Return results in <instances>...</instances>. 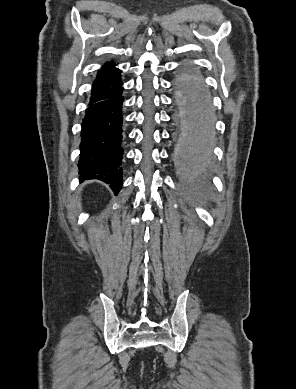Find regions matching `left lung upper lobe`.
<instances>
[{"instance_id":"5c2ea615","label":"left lung upper lobe","mask_w":296,"mask_h":389,"mask_svg":"<svg viewBox=\"0 0 296 389\" xmlns=\"http://www.w3.org/2000/svg\"><path fill=\"white\" fill-rule=\"evenodd\" d=\"M196 84H200L204 87V83H203L202 79L200 78V76L197 73L191 72V71H186L181 76V78L179 79V82H178V85L182 90L188 89ZM181 97H182L181 101L186 105L187 100H186L185 96L183 95V93H182ZM182 118L185 119L188 122V124L194 121L193 116L187 111V109L182 113ZM189 135H195V133L193 131H190L185 136V139H187Z\"/></svg>"}]
</instances>
